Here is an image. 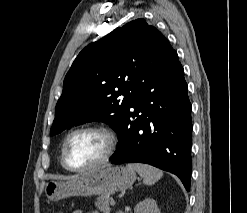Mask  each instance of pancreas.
I'll return each mask as SVG.
<instances>
[{
    "label": "pancreas",
    "instance_id": "pancreas-1",
    "mask_svg": "<svg viewBox=\"0 0 247 213\" xmlns=\"http://www.w3.org/2000/svg\"><path fill=\"white\" fill-rule=\"evenodd\" d=\"M111 200L110 194L106 193L96 199L95 206L103 213H109Z\"/></svg>",
    "mask_w": 247,
    "mask_h": 213
}]
</instances>
